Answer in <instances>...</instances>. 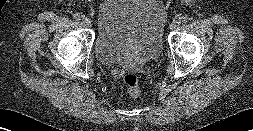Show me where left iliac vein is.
<instances>
[{
  "label": "left iliac vein",
  "mask_w": 253,
  "mask_h": 131,
  "mask_svg": "<svg viewBox=\"0 0 253 131\" xmlns=\"http://www.w3.org/2000/svg\"><path fill=\"white\" fill-rule=\"evenodd\" d=\"M178 25H179V22L176 21V20H174V21L170 24V29H171V30H174V29H176V28L178 27Z\"/></svg>",
  "instance_id": "left-iliac-vein-1"
}]
</instances>
